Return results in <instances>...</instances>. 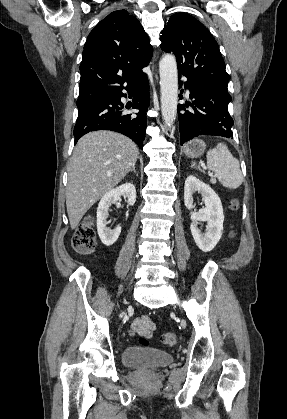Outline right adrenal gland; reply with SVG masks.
I'll return each mask as SVG.
<instances>
[{"label":"right adrenal gland","instance_id":"1","mask_svg":"<svg viewBox=\"0 0 287 419\" xmlns=\"http://www.w3.org/2000/svg\"><path fill=\"white\" fill-rule=\"evenodd\" d=\"M130 172H134L136 174L135 166H133L130 170Z\"/></svg>","mask_w":287,"mask_h":419}]
</instances>
